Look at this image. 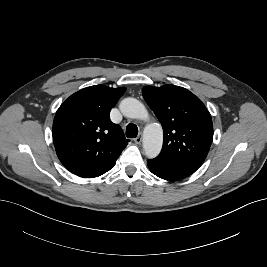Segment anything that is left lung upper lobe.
<instances>
[{"label": "left lung upper lobe", "instance_id": "1", "mask_svg": "<svg viewBox=\"0 0 267 267\" xmlns=\"http://www.w3.org/2000/svg\"><path fill=\"white\" fill-rule=\"evenodd\" d=\"M142 95L163 127V147L156 159L199 168L213 140L211 115L202 101L170 84L145 86Z\"/></svg>", "mask_w": 267, "mask_h": 267}]
</instances>
